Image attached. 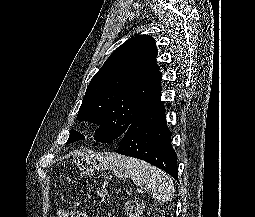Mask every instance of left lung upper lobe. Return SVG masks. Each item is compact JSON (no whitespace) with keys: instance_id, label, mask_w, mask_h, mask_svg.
<instances>
[{"instance_id":"5c2ea615","label":"left lung upper lobe","mask_w":255,"mask_h":217,"mask_svg":"<svg viewBox=\"0 0 255 217\" xmlns=\"http://www.w3.org/2000/svg\"><path fill=\"white\" fill-rule=\"evenodd\" d=\"M152 36L138 35L120 45L87 87L77 120L101 125L97 142L121 139L161 93V72ZM85 139L71 130L67 143Z\"/></svg>"}]
</instances>
